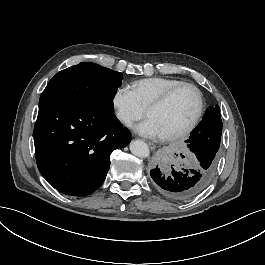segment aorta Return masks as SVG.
Instances as JSON below:
<instances>
[{
    "label": "aorta",
    "mask_w": 265,
    "mask_h": 265,
    "mask_svg": "<svg viewBox=\"0 0 265 265\" xmlns=\"http://www.w3.org/2000/svg\"><path fill=\"white\" fill-rule=\"evenodd\" d=\"M130 151L133 155L139 158H148L150 156V150L147 144L143 141H133L130 144Z\"/></svg>",
    "instance_id": "aorta-1"
}]
</instances>
